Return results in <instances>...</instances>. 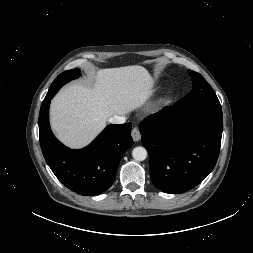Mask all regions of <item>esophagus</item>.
Instances as JSON below:
<instances>
[{"label": "esophagus", "instance_id": "34e87169", "mask_svg": "<svg viewBox=\"0 0 253 253\" xmlns=\"http://www.w3.org/2000/svg\"><path fill=\"white\" fill-rule=\"evenodd\" d=\"M131 136L135 142L139 141L141 138L140 131L137 127H134L131 132Z\"/></svg>", "mask_w": 253, "mask_h": 253}]
</instances>
